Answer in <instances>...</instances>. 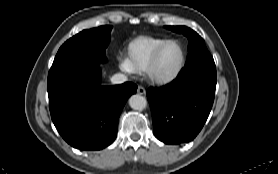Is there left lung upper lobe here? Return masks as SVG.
Returning <instances> with one entry per match:
<instances>
[{
    "label": "left lung upper lobe",
    "mask_w": 278,
    "mask_h": 174,
    "mask_svg": "<svg viewBox=\"0 0 278 174\" xmlns=\"http://www.w3.org/2000/svg\"><path fill=\"white\" fill-rule=\"evenodd\" d=\"M166 28L171 29L174 32L182 33L189 40L188 56L185 67L180 71V75H186L188 73L205 70L211 73H216V67L213 57L207 50L203 38L199 36L192 29L185 26H169Z\"/></svg>",
    "instance_id": "left-lung-upper-lobe-1"
}]
</instances>
